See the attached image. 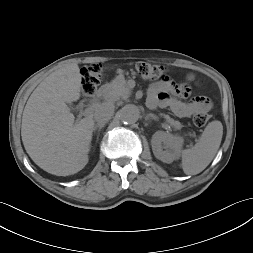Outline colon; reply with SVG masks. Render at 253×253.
Masks as SVG:
<instances>
[{
  "label": "colon",
  "mask_w": 253,
  "mask_h": 253,
  "mask_svg": "<svg viewBox=\"0 0 253 253\" xmlns=\"http://www.w3.org/2000/svg\"><path fill=\"white\" fill-rule=\"evenodd\" d=\"M135 70L139 76L152 80L163 79L166 76V68L160 65H153L147 62H137ZM103 76V67L101 65H91L81 70V89L86 97L95 95L98 85ZM189 81H193L192 75L188 76ZM210 115L208 111L198 112L193 117V123L197 127L207 124Z\"/></svg>",
  "instance_id": "colon-1"
}]
</instances>
